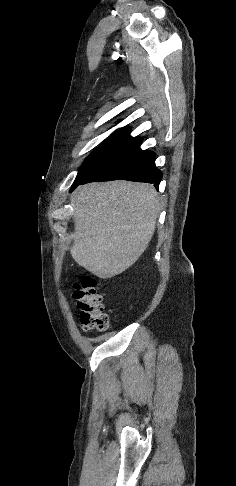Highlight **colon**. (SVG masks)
Segmentation results:
<instances>
[{"mask_svg": "<svg viewBox=\"0 0 236 486\" xmlns=\"http://www.w3.org/2000/svg\"><path fill=\"white\" fill-rule=\"evenodd\" d=\"M73 298L80 309V324L83 330L105 331L109 317L104 311L102 297L97 292V281L92 276H83L74 285Z\"/></svg>", "mask_w": 236, "mask_h": 486, "instance_id": "obj_1", "label": "colon"}]
</instances>
